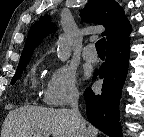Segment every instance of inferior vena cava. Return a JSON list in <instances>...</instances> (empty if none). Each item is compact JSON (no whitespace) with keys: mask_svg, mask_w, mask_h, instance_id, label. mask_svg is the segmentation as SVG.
<instances>
[{"mask_svg":"<svg viewBox=\"0 0 144 137\" xmlns=\"http://www.w3.org/2000/svg\"><path fill=\"white\" fill-rule=\"evenodd\" d=\"M79 94L74 93L69 101L72 116L77 129V137H86V127L78 109Z\"/></svg>","mask_w":144,"mask_h":137,"instance_id":"1","label":"inferior vena cava"}]
</instances>
